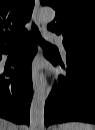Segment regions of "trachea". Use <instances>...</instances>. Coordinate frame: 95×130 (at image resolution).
Listing matches in <instances>:
<instances>
[{"mask_svg": "<svg viewBox=\"0 0 95 130\" xmlns=\"http://www.w3.org/2000/svg\"><path fill=\"white\" fill-rule=\"evenodd\" d=\"M31 32H32V35H33V38L35 39V41L40 44L41 46H44V47H50V48H56L55 46L51 45L50 43L46 42L40 32H39V29L38 27L33 24L32 27H31Z\"/></svg>", "mask_w": 95, "mask_h": 130, "instance_id": "1", "label": "trachea"}]
</instances>
